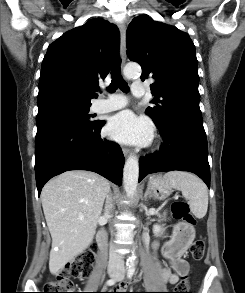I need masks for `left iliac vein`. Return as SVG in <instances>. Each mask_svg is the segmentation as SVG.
Here are the masks:
<instances>
[{"mask_svg": "<svg viewBox=\"0 0 245 293\" xmlns=\"http://www.w3.org/2000/svg\"><path fill=\"white\" fill-rule=\"evenodd\" d=\"M124 276V273H121L120 275H118V278L121 280Z\"/></svg>", "mask_w": 245, "mask_h": 293, "instance_id": "4c4485c4", "label": "left iliac vein"}]
</instances>
